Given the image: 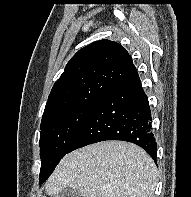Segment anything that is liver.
Here are the masks:
<instances>
[{
    "instance_id": "1",
    "label": "liver",
    "mask_w": 191,
    "mask_h": 197,
    "mask_svg": "<svg viewBox=\"0 0 191 197\" xmlns=\"http://www.w3.org/2000/svg\"><path fill=\"white\" fill-rule=\"evenodd\" d=\"M158 181L152 158L125 141H104L67 154L45 183L47 195L76 189L82 197H154Z\"/></svg>"
}]
</instances>
